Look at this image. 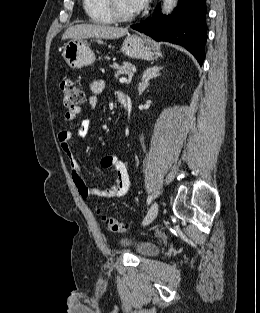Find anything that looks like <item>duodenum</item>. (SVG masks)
<instances>
[{
	"label": "duodenum",
	"instance_id": "1",
	"mask_svg": "<svg viewBox=\"0 0 260 313\" xmlns=\"http://www.w3.org/2000/svg\"><path fill=\"white\" fill-rule=\"evenodd\" d=\"M119 101H120L121 106L126 110L129 106L128 99L126 97L122 96V97H119Z\"/></svg>",
	"mask_w": 260,
	"mask_h": 313
}]
</instances>
